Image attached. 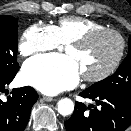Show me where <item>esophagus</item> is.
Here are the masks:
<instances>
[{
  "instance_id": "34e87169",
  "label": "esophagus",
  "mask_w": 131,
  "mask_h": 131,
  "mask_svg": "<svg viewBox=\"0 0 131 131\" xmlns=\"http://www.w3.org/2000/svg\"><path fill=\"white\" fill-rule=\"evenodd\" d=\"M43 100L46 102H51L53 100H55L53 97H49V96H43Z\"/></svg>"
}]
</instances>
